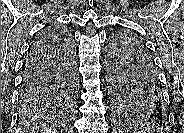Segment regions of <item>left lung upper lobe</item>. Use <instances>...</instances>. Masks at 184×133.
Returning <instances> with one entry per match:
<instances>
[{"label": "left lung upper lobe", "mask_w": 184, "mask_h": 133, "mask_svg": "<svg viewBox=\"0 0 184 133\" xmlns=\"http://www.w3.org/2000/svg\"><path fill=\"white\" fill-rule=\"evenodd\" d=\"M107 64L117 112L135 124L146 126L158 124L159 114L167 116L165 101L156 106L157 98L151 85L157 84V70L138 38L126 32L116 34L109 46Z\"/></svg>", "instance_id": "1"}]
</instances>
